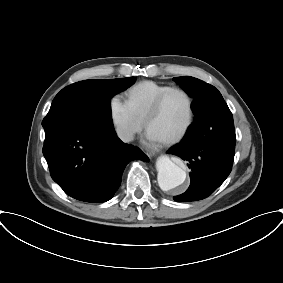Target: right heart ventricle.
<instances>
[{"label": "right heart ventricle", "instance_id": "1", "mask_svg": "<svg viewBox=\"0 0 283 283\" xmlns=\"http://www.w3.org/2000/svg\"><path fill=\"white\" fill-rule=\"evenodd\" d=\"M169 87L170 85L152 80L141 81L126 91L125 101L134 116L143 122L156 98Z\"/></svg>", "mask_w": 283, "mask_h": 283}]
</instances>
